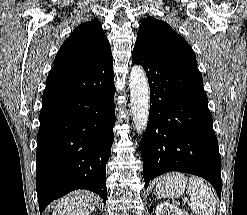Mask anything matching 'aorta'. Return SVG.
<instances>
[{
  "mask_svg": "<svg viewBox=\"0 0 247 215\" xmlns=\"http://www.w3.org/2000/svg\"><path fill=\"white\" fill-rule=\"evenodd\" d=\"M133 125L143 134L149 121L150 90L146 73L140 65H134L129 76Z\"/></svg>",
  "mask_w": 247,
  "mask_h": 215,
  "instance_id": "aorta-1",
  "label": "aorta"
}]
</instances>
